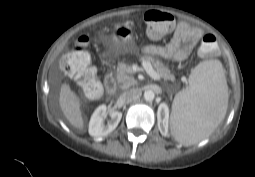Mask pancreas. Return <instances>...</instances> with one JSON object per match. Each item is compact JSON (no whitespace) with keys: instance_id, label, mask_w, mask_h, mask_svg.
<instances>
[{"instance_id":"1","label":"pancreas","mask_w":255,"mask_h":177,"mask_svg":"<svg viewBox=\"0 0 255 177\" xmlns=\"http://www.w3.org/2000/svg\"><path fill=\"white\" fill-rule=\"evenodd\" d=\"M140 59L149 61L153 65L155 71L164 80H171V81L175 80V76L171 73L169 68L161 60L155 59L151 56H142ZM131 74H132V68L130 65L124 62H120L118 64L117 71H116V81L120 89H123V90L128 89L131 86H134L137 84V81L134 79V77Z\"/></svg>"}]
</instances>
